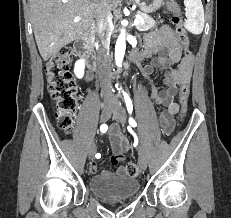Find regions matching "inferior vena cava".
I'll return each instance as SVG.
<instances>
[{
  "label": "inferior vena cava",
  "instance_id": "1",
  "mask_svg": "<svg viewBox=\"0 0 231 218\" xmlns=\"http://www.w3.org/2000/svg\"><path fill=\"white\" fill-rule=\"evenodd\" d=\"M97 67L100 85L105 97L112 95L111 91V57L109 54L110 37L112 30V14L106 1L102 0L97 9Z\"/></svg>",
  "mask_w": 231,
  "mask_h": 218
}]
</instances>
